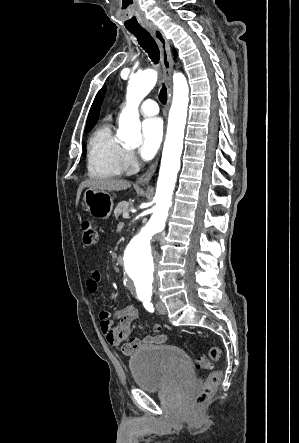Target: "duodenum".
I'll use <instances>...</instances> for the list:
<instances>
[{"instance_id":"duodenum-1","label":"duodenum","mask_w":299,"mask_h":443,"mask_svg":"<svg viewBox=\"0 0 299 443\" xmlns=\"http://www.w3.org/2000/svg\"><path fill=\"white\" fill-rule=\"evenodd\" d=\"M116 263L119 264V265L123 263V260H122L121 256H117L116 257Z\"/></svg>"}]
</instances>
